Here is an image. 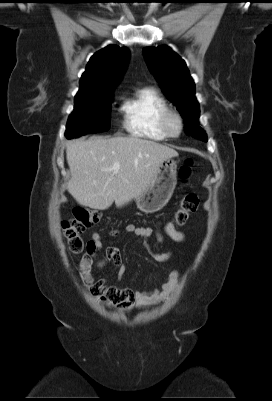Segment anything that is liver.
Returning a JSON list of instances; mask_svg holds the SVG:
<instances>
[{
    "label": "liver",
    "instance_id": "obj_1",
    "mask_svg": "<svg viewBox=\"0 0 272 401\" xmlns=\"http://www.w3.org/2000/svg\"><path fill=\"white\" fill-rule=\"evenodd\" d=\"M177 156L172 148L136 136L73 140L66 145L67 189L93 209L105 210L113 202L122 207L147 188L164 160ZM115 163L117 173L109 170Z\"/></svg>",
    "mask_w": 272,
    "mask_h": 401
}]
</instances>
